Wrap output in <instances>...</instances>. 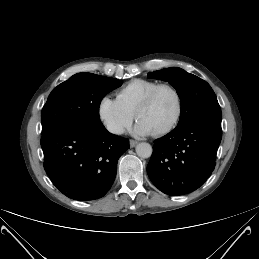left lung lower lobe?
Instances as JSON below:
<instances>
[{
	"label": "left lung lower lobe",
	"instance_id": "obj_1",
	"mask_svg": "<svg viewBox=\"0 0 259 259\" xmlns=\"http://www.w3.org/2000/svg\"><path fill=\"white\" fill-rule=\"evenodd\" d=\"M222 138L221 123L195 121L154 141L147 166L152 183L169 196L202 186L215 168Z\"/></svg>",
	"mask_w": 259,
	"mask_h": 259
}]
</instances>
